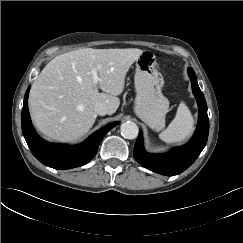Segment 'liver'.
I'll return each mask as SVG.
<instances>
[{
	"instance_id": "liver-1",
	"label": "liver",
	"mask_w": 243,
	"mask_h": 243,
	"mask_svg": "<svg viewBox=\"0 0 243 243\" xmlns=\"http://www.w3.org/2000/svg\"><path fill=\"white\" fill-rule=\"evenodd\" d=\"M142 52L137 48H84L53 58L33 82L29 95L36 128L46 138L61 142L84 136L97 118V103L106 104L108 115L116 112L126 74ZM92 69H97V84Z\"/></svg>"
}]
</instances>
